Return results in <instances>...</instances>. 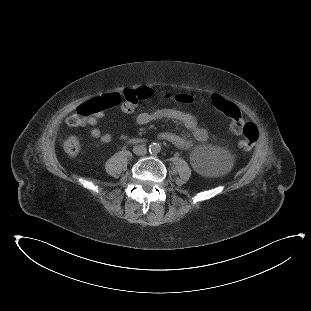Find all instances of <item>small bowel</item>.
Returning <instances> with one entry per match:
<instances>
[{
  "mask_svg": "<svg viewBox=\"0 0 311 311\" xmlns=\"http://www.w3.org/2000/svg\"><path fill=\"white\" fill-rule=\"evenodd\" d=\"M103 117V112L89 117L86 120V127L92 138L99 139L102 143L107 144L111 141L112 135L108 133L103 134L99 128V121ZM136 120L141 125L150 124L158 120H172L188 129L194 141L205 142L208 139L207 131L197 124L193 115L177 109L165 108L155 111H143L137 115ZM159 137L184 150H189L192 147V140L180 134L163 132L159 134Z\"/></svg>",
  "mask_w": 311,
  "mask_h": 311,
  "instance_id": "c3829d8e",
  "label": "small bowel"
}]
</instances>
